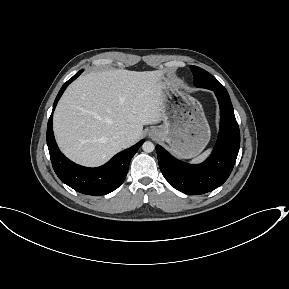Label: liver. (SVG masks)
I'll use <instances>...</instances> for the list:
<instances>
[{
    "label": "liver",
    "instance_id": "liver-1",
    "mask_svg": "<svg viewBox=\"0 0 289 289\" xmlns=\"http://www.w3.org/2000/svg\"><path fill=\"white\" fill-rule=\"evenodd\" d=\"M162 76L158 70L119 69L75 80L54 112L53 129L62 152L82 165L98 166L137 143L144 125L162 120ZM118 134L126 136L123 144Z\"/></svg>",
    "mask_w": 289,
    "mask_h": 289
}]
</instances>
